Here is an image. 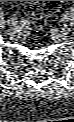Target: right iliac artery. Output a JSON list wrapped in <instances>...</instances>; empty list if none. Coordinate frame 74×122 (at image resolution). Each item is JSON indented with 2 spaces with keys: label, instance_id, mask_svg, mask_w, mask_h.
I'll return each mask as SVG.
<instances>
[{
  "label": "right iliac artery",
  "instance_id": "right-iliac-artery-1",
  "mask_svg": "<svg viewBox=\"0 0 74 122\" xmlns=\"http://www.w3.org/2000/svg\"><path fill=\"white\" fill-rule=\"evenodd\" d=\"M9 24H11V26H15L17 24V21L15 20H9Z\"/></svg>",
  "mask_w": 74,
  "mask_h": 122
}]
</instances>
